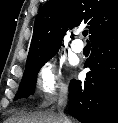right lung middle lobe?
<instances>
[{
  "label": "right lung middle lobe",
  "mask_w": 118,
  "mask_h": 123,
  "mask_svg": "<svg viewBox=\"0 0 118 123\" xmlns=\"http://www.w3.org/2000/svg\"><path fill=\"white\" fill-rule=\"evenodd\" d=\"M55 54L56 53L46 57H42L39 60H37L32 66L25 69L19 90L14 100L26 98L34 92L37 80V73L39 72L40 68Z\"/></svg>",
  "instance_id": "dd1d6c3e"
}]
</instances>
